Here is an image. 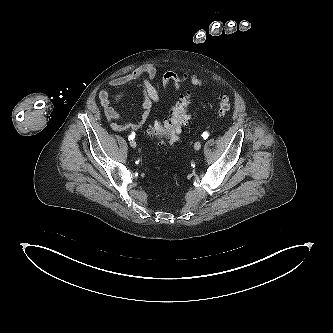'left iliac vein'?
<instances>
[{
	"instance_id": "left-iliac-vein-1",
	"label": "left iliac vein",
	"mask_w": 333,
	"mask_h": 333,
	"mask_svg": "<svg viewBox=\"0 0 333 333\" xmlns=\"http://www.w3.org/2000/svg\"><path fill=\"white\" fill-rule=\"evenodd\" d=\"M195 150H199L201 148V143L198 141L194 144Z\"/></svg>"
}]
</instances>
